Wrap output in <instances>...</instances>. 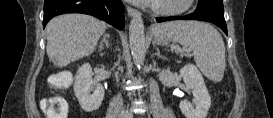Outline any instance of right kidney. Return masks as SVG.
I'll return each instance as SVG.
<instances>
[{
	"instance_id": "obj_1",
	"label": "right kidney",
	"mask_w": 273,
	"mask_h": 118,
	"mask_svg": "<svg viewBox=\"0 0 273 118\" xmlns=\"http://www.w3.org/2000/svg\"><path fill=\"white\" fill-rule=\"evenodd\" d=\"M74 93L81 108L86 112L97 110L101 106L104 87L93 81L90 64L85 63L78 69L75 75Z\"/></svg>"
}]
</instances>
